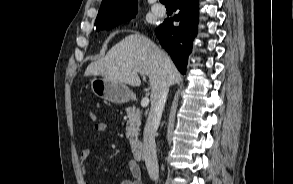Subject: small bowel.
<instances>
[{
  "label": "small bowel",
  "mask_w": 293,
  "mask_h": 184,
  "mask_svg": "<svg viewBox=\"0 0 293 184\" xmlns=\"http://www.w3.org/2000/svg\"><path fill=\"white\" fill-rule=\"evenodd\" d=\"M106 129H107V125L104 122H96L94 124V130L97 133H102L106 131ZM90 157H91L90 149L86 148L81 151L79 160L84 172L86 171V163L88 162ZM128 167H129V171L132 178L123 180L120 184H143L141 180V171L136 161L134 160L129 161ZM86 184H89V183L86 182Z\"/></svg>",
  "instance_id": "1"
}]
</instances>
